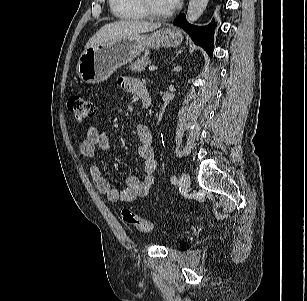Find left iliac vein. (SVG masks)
<instances>
[{"mask_svg": "<svg viewBox=\"0 0 307 301\" xmlns=\"http://www.w3.org/2000/svg\"><path fill=\"white\" fill-rule=\"evenodd\" d=\"M180 185L185 192H188L191 187V178L189 174L183 173L180 180Z\"/></svg>", "mask_w": 307, "mask_h": 301, "instance_id": "left-iliac-vein-1", "label": "left iliac vein"}]
</instances>
